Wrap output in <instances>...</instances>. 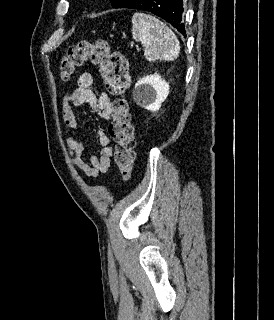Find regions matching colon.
Wrapping results in <instances>:
<instances>
[{
    "instance_id": "1",
    "label": "colon",
    "mask_w": 274,
    "mask_h": 320,
    "mask_svg": "<svg viewBox=\"0 0 274 320\" xmlns=\"http://www.w3.org/2000/svg\"><path fill=\"white\" fill-rule=\"evenodd\" d=\"M85 63L100 68L108 91L117 97L113 105L111 137L115 141L118 169L128 177L133 170L136 146L133 119L125 97L130 85L128 62L121 53L112 51L106 41L81 43L69 47L61 56L59 73L63 79H69Z\"/></svg>"
}]
</instances>
